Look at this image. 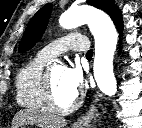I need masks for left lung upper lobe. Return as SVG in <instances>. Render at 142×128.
<instances>
[{"label": "left lung upper lobe", "instance_id": "left-lung-upper-lobe-1", "mask_svg": "<svg viewBox=\"0 0 142 128\" xmlns=\"http://www.w3.org/2000/svg\"><path fill=\"white\" fill-rule=\"evenodd\" d=\"M86 3L109 14L117 29L123 27L122 16L114 0H87ZM51 10L52 5L46 4L32 17L20 42L19 52L22 53L31 49L41 38L46 29Z\"/></svg>", "mask_w": 142, "mask_h": 128}]
</instances>
